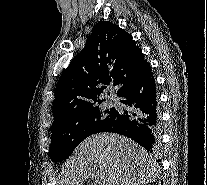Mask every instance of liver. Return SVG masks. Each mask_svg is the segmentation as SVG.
Listing matches in <instances>:
<instances>
[{"mask_svg":"<svg viewBox=\"0 0 207 185\" xmlns=\"http://www.w3.org/2000/svg\"><path fill=\"white\" fill-rule=\"evenodd\" d=\"M154 161L146 149L117 133H97L82 141L64 165L61 185H146Z\"/></svg>","mask_w":207,"mask_h":185,"instance_id":"1","label":"liver"}]
</instances>
